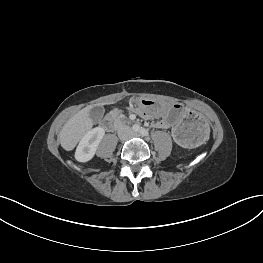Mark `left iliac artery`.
I'll return each mask as SVG.
<instances>
[{
    "label": "left iliac artery",
    "instance_id": "obj_1",
    "mask_svg": "<svg viewBox=\"0 0 263 263\" xmlns=\"http://www.w3.org/2000/svg\"><path fill=\"white\" fill-rule=\"evenodd\" d=\"M140 133L143 136H149V132L146 129H144V128H141Z\"/></svg>",
    "mask_w": 263,
    "mask_h": 263
}]
</instances>
